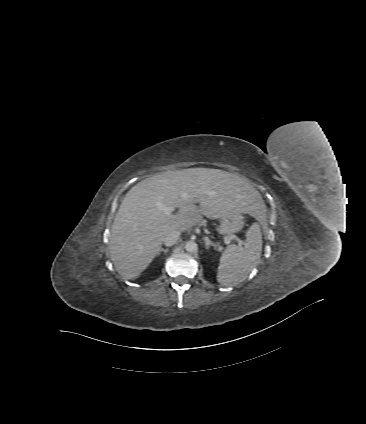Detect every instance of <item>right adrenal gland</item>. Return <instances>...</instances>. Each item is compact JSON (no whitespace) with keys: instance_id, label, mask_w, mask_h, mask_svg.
I'll use <instances>...</instances> for the list:
<instances>
[{"instance_id":"right-adrenal-gland-1","label":"right adrenal gland","mask_w":366,"mask_h":424,"mask_svg":"<svg viewBox=\"0 0 366 424\" xmlns=\"http://www.w3.org/2000/svg\"><path fill=\"white\" fill-rule=\"evenodd\" d=\"M169 251V248H160L159 252L157 253V255H160L161 252H164L165 254Z\"/></svg>"}]
</instances>
